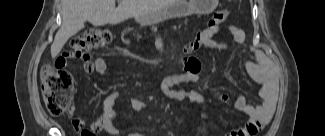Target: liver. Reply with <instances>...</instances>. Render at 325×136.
Instances as JSON below:
<instances>
[{
    "label": "liver",
    "instance_id": "obj_1",
    "mask_svg": "<svg viewBox=\"0 0 325 136\" xmlns=\"http://www.w3.org/2000/svg\"><path fill=\"white\" fill-rule=\"evenodd\" d=\"M64 0L62 25L51 45V56L56 58L65 43L77 34L86 21L94 26L107 23L118 24L132 17H139L160 11L172 5L174 0Z\"/></svg>",
    "mask_w": 325,
    "mask_h": 136
}]
</instances>
